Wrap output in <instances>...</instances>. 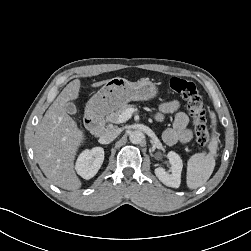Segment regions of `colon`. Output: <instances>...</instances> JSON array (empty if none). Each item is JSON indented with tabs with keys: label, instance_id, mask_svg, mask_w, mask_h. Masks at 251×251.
Instances as JSON below:
<instances>
[{
	"label": "colon",
	"instance_id": "1",
	"mask_svg": "<svg viewBox=\"0 0 251 251\" xmlns=\"http://www.w3.org/2000/svg\"><path fill=\"white\" fill-rule=\"evenodd\" d=\"M169 86L172 91L185 99L194 125L197 142L203 147H208L211 137L207 126L205 106L197 86L194 82L180 77H172Z\"/></svg>",
	"mask_w": 251,
	"mask_h": 251
}]
</instances>
